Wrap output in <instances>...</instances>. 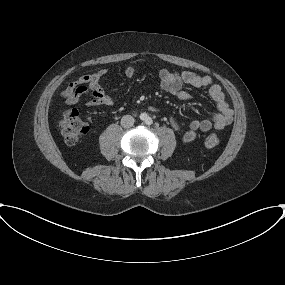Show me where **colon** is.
<instances>
[{"label":"colon","instance_id":"5ec220e1","mask_svg":"<svg viewBox=\"0 0 285 285\" xmlns=\"http://www.w3.org/2000/svg\"><path fill=\"white\" fill-rule=\"evenodd\" d=\"M59 126L63 139L68 145H75L89 131L87 123L82 120L75 109L63 112ZM204 143L209 148L216 147L219 144V137L215 133H210L205 137Z\"/></svg>","mask_w":285,"mask_h":285}]
</instances>
